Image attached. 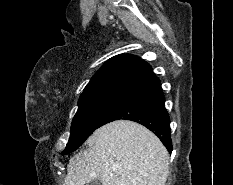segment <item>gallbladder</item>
Returning a JSON list of instances; mask_svg holds the SVG:
<instances>
[{
  "instance_id": "1",
  "label": "gallbladder",
  "mask_w": 233,
  "mask_h": 185,
  "mask_svg": "<svg viewBox=\"0 0 233 185\" xmlns=\"http://www.w3.org/2000/svg\"><path fill=\"white\" fill-rule=\"evenodd\" d=\"M86 185H102V184H101V181L99 179H95V180H92L91 182H89Z\"/></svg>"
}]
</instances>
